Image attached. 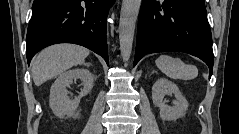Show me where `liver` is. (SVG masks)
<instances>
[{
	"mask_svg": "<svg viewBox=\"0 0 239 134\" xmlns=\"http://www.w3.org/2000/svg\"><path fill=\"white\" fill-rule=\"evenodd\" d=\"M89 50L74 44H57L45 48L32 60V77L36 86L83 64Z\"/></svg>",
	"mask_w": 239,
	"mask_h": 134,
	"instance_id": "1",
	"label": "liver"
}]
</instances>
